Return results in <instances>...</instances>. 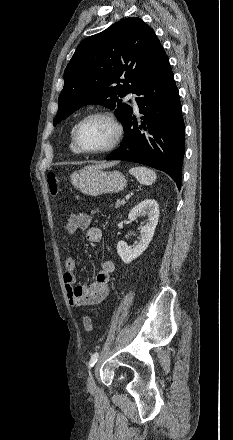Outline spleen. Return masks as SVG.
<instances>
[{"label": "spleen", "mask_w": 233, "mask_h": 440, "mask_svg": "<svg viewBox=\"0 0 233 440\" xmlns=\"http://www.w3.org/2000/svg\"><path fill=\"white\" fill-rule=\"evenodd\" d=\"M129 173L143 185H152L157 179L155 171L144 166L133 167L129 170Z\"/></svg>", "instance_id": "1"}]
</instances>
